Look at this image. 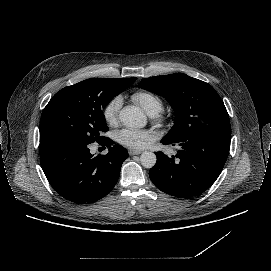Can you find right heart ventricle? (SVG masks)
<instances>
[{
  "label": "right heart ventricle",
  "instance_id": "right-heart-ventricle-1",
  "mask_svg": "<svg viewBox=\"0 0 271 271\" xmlns=\"http://www.w3.org/2000/svg\"><path fill=\"white\" fill-rule=\"evenodd\" d=\"M131 98L150 115L161 111L164 106L162 99L157 94L145 89L133 92Z\"/></svg>",
  "mask_w": 271,
  "mask_h": 271
}]
</instances>
